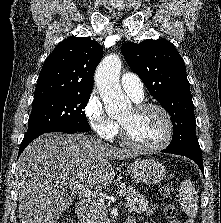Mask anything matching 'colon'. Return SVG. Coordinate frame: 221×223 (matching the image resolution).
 <instances>
[{"mask_svg": "<svg viewBox=\"0 0 221 223\" xmlns=\"http://www.w3.org/2000/svg\"><path fill=\"white\" fill-rule=\"evenodd\" d=\"M161 193H162V196L166 199H168L171 194L170 189L168 187H164ZM164 212H165L166 218L170 221V223H178V221L176 220L177 209L173 204L167 203L165 206ZM57 223H72V220L70 218H62L58 220Z\"/></svg>", "mask_w": 221, "mask_h": 223, "instance_id": "5ec220e1", "label": "colon"}]
</instances>
